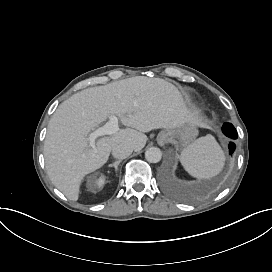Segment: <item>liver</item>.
<instances>
[{
	"label": "liver",
	"mask_w": 272,
	"mask_h": 272,
	"mask_svg": "<svg viewBox=\"0 0 272 272\" xmlns=\"http://www.w3.org/2000/svg\"><path fill=\"white\" fill-rule=\"evenodd\" d=\"M112 115L127 128L91 146L86 135ZM187 123L198 125L177 89L162 79L137 76L84 89L60 104L48 124L44 156L49 178L76 202L83 179L107 163L115 145L138 152L147 142L144 133L178 130Z\"/></svg>",
	"instance_id": "6515ba94"
}]
</instances>
